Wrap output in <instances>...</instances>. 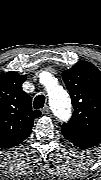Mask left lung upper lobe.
I'll return each instance as SVG.
<instances>
[{
	"label": "left lung upper lobe",
	"instance_id": "obj_1",
	"mask_svg": "<svg viewBox=\"0 0 101 180\" xmlns=\"http://www.w3.org/2000/svg\"><path fill=\"white\" fill-rule=\"evenodd\" d=\"M62 78L74 108L62 133L70 142L96 146L101 142V72L91 62L79 61Z\"/></svg>",
	"mask_w": 101,
	"mask_h": 180
}]
</instances>
